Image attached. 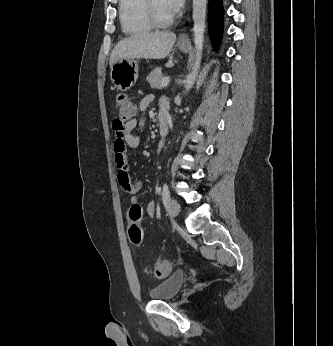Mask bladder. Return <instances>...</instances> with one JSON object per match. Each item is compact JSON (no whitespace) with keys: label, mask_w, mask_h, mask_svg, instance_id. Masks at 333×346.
<instances>
[{"label":"bladder","mask_w":333,"mask_h":346,"mask_svg":"<svg viewBox=\"0 0 333 346\" xmlns=\"http://www.w3.org/2000/svg\"><path fill=\"white\" fill-rule=\"evenodd\" d=\"M185 277L186 275L183 271L172 273L149 291L150 297L156 301H165L174 298L182 288Z\"/></svg>","instance_id":"bladder-1"}]
</instances>
